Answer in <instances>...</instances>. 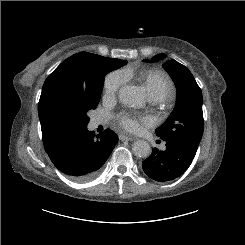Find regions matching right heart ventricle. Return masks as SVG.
Wrapping results in <instances>:
<instances>
[{
	"label": "right heart ventricle",
	"mask_w": 245,
	"mask_h": 245,
	"mask_svg": "<svg viewBox=\"0 0 245 245\" xmlns=\"http://www.w3.org/2000/svg\"><path fill=\"white\" fill-rule=\"evenodd\" d=\"M126 76L131 73L126 72ZM141 78L151 99L168 98L174 91V86L167 74L160 70H149L141 74Z\"/></svg>",
	"instance_id": "obj_1"
}]
</instances>
